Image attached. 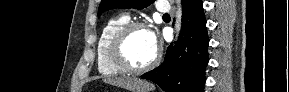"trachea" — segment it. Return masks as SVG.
I'll use <instances>...</instances> for the list:
<instances>
[{
  "label": "trachea",
  "mask_w": 289,
  "mask_h": 92,
  "mask_svg": "<svg viewBox=\"0 0 289 92\" xmlns=\"http://www.w3.org/2000/svg\"><path fill=\"white\" fill-rule=\"evenodd\" d=\"M163 16H164V17H169V14H164Z\"/></svg>",
  "instance_id": "trachea-1"
}]
</instances>
